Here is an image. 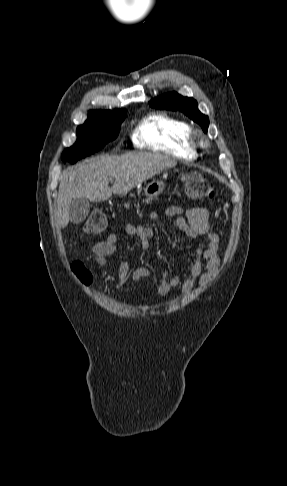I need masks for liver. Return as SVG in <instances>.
Returning a JSON list of instances; mask_svg holds the SVG:
<instances>
[{
	"mask_svg": "<svg viewBox=\"0 0 287 486\" xmlns=\"http://www.w3.org/2000/svg\"><path fill=\"white\" fill-rule=\"evenodd\" d=\"M177 165L169 156L138 152L122 156H98L63 172L57 199V216L62 228L70 220L73 199L92 202L109 199L112 194H125L161 171ZM115 179L113 186L109 182Z\"/></svg>",
	"mask_w": 287,
	"mask_h": 486,
	"instance_id": "liver-1",
	"label": "liver"
}]
</instances>
